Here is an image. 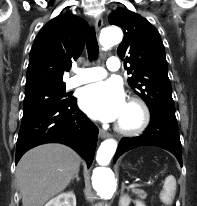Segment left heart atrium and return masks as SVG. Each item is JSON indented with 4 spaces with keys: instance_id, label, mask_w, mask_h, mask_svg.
<instances>
[{
    "instance_id": "left-heart-atrium-1",
    "label": "left heart atrium",
    "mask_w": 197,
    "mask_h": 206,
    "mask_svg": "<svg viewBox=\"0 0 197 206\" xmlns=\"http://www.w3.org/2000/svg\"><path fill=\"white\" fill-rule=\"evenodd\" d=\"M81 108L92 118L110 122L120 120L127 103L117 81H103L85 87L79 98Z\"/></svg>"
}]
</instances>
